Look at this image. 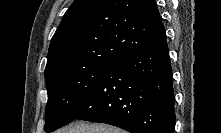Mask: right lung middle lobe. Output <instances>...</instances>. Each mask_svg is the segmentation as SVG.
Listing matches in <instances>:
<instances>
[{"label":"right lung middle lobe","mask_w":221,"mask_h":133,"mask_svg":"<svg viewBox=\"0 0 221 133\" xmlns=\"http://www.w3.org/2000/svg\"><path fill=\"white\" fill-rule=\"evenodd\" d=\"M111 64L70 66L45 76L48 102L46 132L54 131L74 120Z\"/></svg>","instance_id":"dd1d6c3e"}]
</instances>
